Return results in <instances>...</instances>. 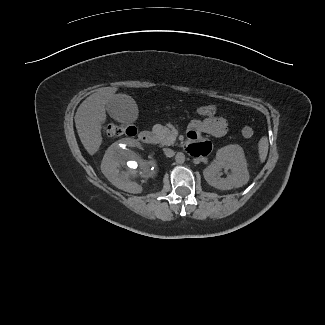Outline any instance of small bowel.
Here are the masks:
<instances>
[{"mask_svg":"<svg viewBox=\"0 0 325 325\" xmlns=\"http://www.w3.org/2000/svg\"><path fill=\"white\" fill-rule=\"evenodd\" d=\"M227 130L226 120L219 116L193 120L189 125L190 142L187 145V152L193 157H202L210 153L212 149L211 142L199 135L202 133L210 134L213 137L220 138L225 135Z\"/></svg>","mask_w":325,"mask_h":325,"instance_id":"obj_1","label":"small bowel"}]
</instances>
